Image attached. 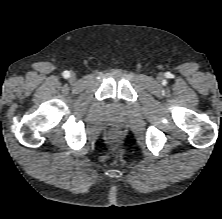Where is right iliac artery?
Wrapping results in <instances>:
<instances>
[{"mask_svg":"<svg viewBox=\"0 0 222 219\" xmlns=\"http://www.w3.org/2000/svg\"><path fill=\"white\" fill-rule=\"evenodd\" d=\"M70 76V72L69 71H64L63 72V77L64 78H68Z\"/></svg>","mask_w":222,"mask_h":219,"instance_id":"obj_1","label":"right iliac artery"}]
</instances>
